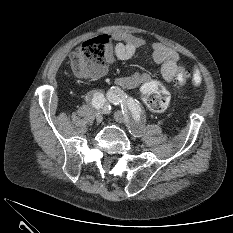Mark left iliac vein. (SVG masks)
I'll list each match as a JSON object with an SVG mask.
<instances>
[{
	"label": "left iliac vein",
	"mask_w": 233,
	"mask_h": 233,
	"mask_svg": "<svg viewBox=\"0 0 233 233\" xmlns=\"http://www.w3.org/2000/svg\"><path fill=\"white\" fill-rule=\"evenodd\" d=\"M114 118L118 123L126 125L127 128L129 129V132L134 137L141 136L142 131L140 127L136 123H134V121H132L128 115H124L121 111H115Z\"/></svg>",
	"instance_id": "4c4485c4"
}]
</instances>
